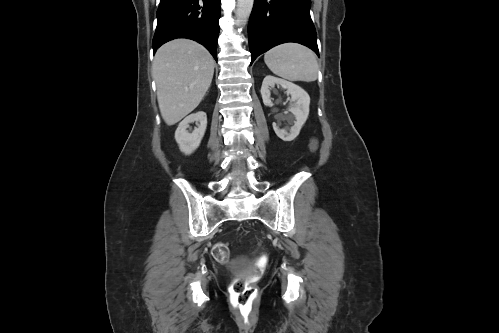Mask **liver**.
<instances>
[{
    "label": "liver",
    "mask_w": 499,
    "mask_h": 333,
    "mask_svg": "<svg viewBox=\"0 0 499 333\" xmlns=\"http://www.w3.org/2000/svg\"><path fill=\"white\" fill-rule=\"evenodd\" d=\"M215 61L199 43L175 39L161 46L152 74L162 118L171 126L192 112L209 89Z\"/></svg>",
    "instance_id": "1"
}]
</instances>
